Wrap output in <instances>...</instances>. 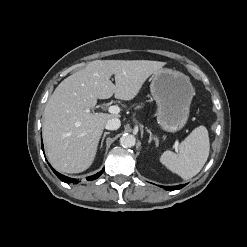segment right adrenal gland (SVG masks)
<instances>
[{
  "label": "right adrenal gland",
  "mask_w": 247,
  "mask_h": 247,
  "mask_svg": "<svg viewBox=\"0 0 247 247\" xmlns=\"http://www.w3.org/2000/svg\"><path fill=\"white\" fill-rule=\"evenodd\" d=\"M109 133H110V132H105V133L103 134V137H102V140H101V144H100V148H102L104 139H105L106 135H108Z\"/></svg>",
  "instance_id": "1"
}]
</instances>
